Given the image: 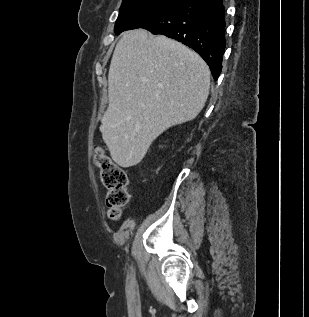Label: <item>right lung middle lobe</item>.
<instances>
[{"instance_id": "obj_1", "label": "right lung middle lobe", "mask_w": 309, "mask_h": 317, "mask_svg": "<svg viewBox=\"0 0 309 317\" xmlns=\"http://www.w3.org/2000/svg\"><path fill=\"white\" fill-rule=\"evenodd\" d=\"M180 0H123L115 24V33L125 30L137 18Z\"/></svg>"}]
</instances>
